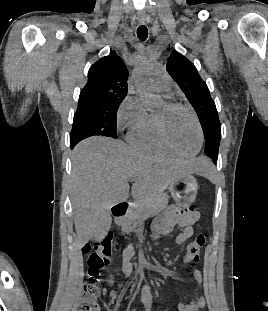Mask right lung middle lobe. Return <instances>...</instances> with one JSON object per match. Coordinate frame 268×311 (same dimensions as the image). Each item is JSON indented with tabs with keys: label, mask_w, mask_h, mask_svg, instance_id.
<instances>
[{
	"label": "right lung middle lobe",
	"mask_w": 268,
	"mask_h": 311,
	"mask_svg": "<svg viewBox=\"0 0 268 311\" xmlns=\"http://www.w3.org/2000/svg\"><path fill=\"white\" fill-rule=\"evenodd\" d=\"M122 100L79 97L70 139L102 135L117 138V111Z\"/></svg>",
	"instance_id": "dd1d6c3e"
}]
</instances>
